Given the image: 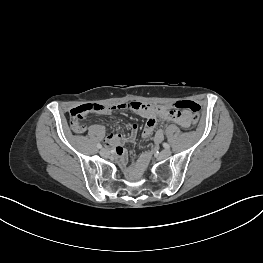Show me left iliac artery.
<instances>
[{
	"label": "left iliac artery",
	"instance_id": "obj_1",
	"mask_svg": "<svg viewBox=\"0 0 263 263\" xmlns=\"http://www.w3.org/2000/svg\"><path fill=\"white\" fill-rule=\"evenodd\" d=\"M163 147L166 148V149H169V148H170V145L167 144V143H163Z\"/></svg>",
	"mask_w": 263,
	"mask_h": 263
}]
</instances>
